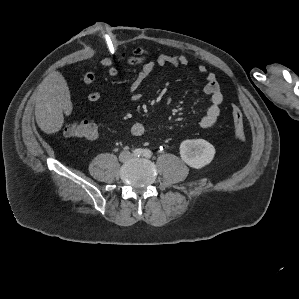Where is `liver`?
<instances>
[{"mask_svg":"<svg viewBox=\"0 0 299 299\" xmlns=\"http://www.w3.org/2000/svg\"><path fill=\"white\" fill-rule=\"evenodd\" d=\"M69 87L58 71L49 73L37 89L35 117L40 129L46 134L58 132L67 116L72 112Z\"/></svg>","mask_w":299,"mask_h":299,"instance_id":"obj_1","label":"liver"}]
</instances>
